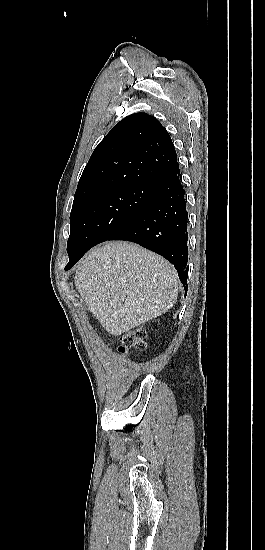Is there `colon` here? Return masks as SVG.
Returning a JSON list of instances; mask_svg holds the SVG:
<instances>
[{"label":"colon","instance_id":"colon-1","mask_svg":"<svg viewBox=\"0 0 265 550\" xmlns=\"http://www.w3.org/2000/svg\"><path fill=\"white\" fill-rule=\"evenodd\" d=\"M146 331L143 328L134 329L121 337L122 346L119 351L126 353L131 349L142 350L145 347Z\"/></svg>","mask_w":265,"mask_h":550}]
</instances>
